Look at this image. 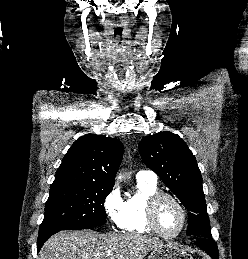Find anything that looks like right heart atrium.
<instances>
[{
  "label": "right heart atrium",
  "mask_w": 248,
  "mask_h": 259,
  "mask_svg": "<svg viewBox=\"0 0 248 259\" xmlns=\"http://www.w3.org/2000/svg\"><path fill=\"white\" fill-rule=\"evenodd\" d=\"M104 208L113 225L121 227L124 200L118 185H114L104 199Z\"/></svg>",
  "instance_id": "obj_1"
}]
</instances>
